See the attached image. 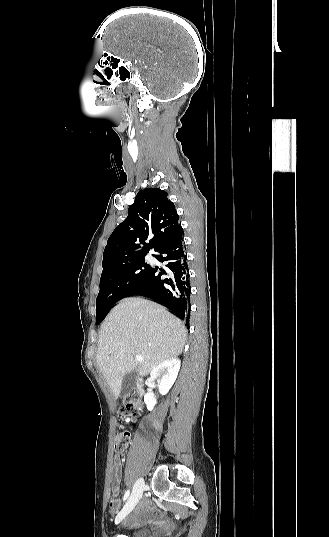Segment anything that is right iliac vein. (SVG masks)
<instances>
[{"label":"right iliac vein","mask_w":329,"mask_h":537,"mask_svg":"<svg viewBox=\"0 0 329 537\" xmlns=\"http://www.w3.org/2000/svg\"><path fill=\"white\" fill-rule=\"evenodd\" d=\"M144 485L145 484L143 478H139L136 481L128 501L126 502L123 509L116 516L115 524H119L136 506V504L142 497Z\"/></svg>","instance_id":"63e3f726"}]
</instances>
